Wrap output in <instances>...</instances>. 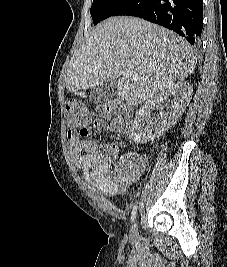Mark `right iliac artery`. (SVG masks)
I'll return each instance as SVG.
<instances>
[{
	"mask_svg": "<svg viewBox=\"0 0 227 267\" xmlns=\"http://www.w3.org/2000/svg\"><path fill=\"white\" fill-rule=\"evenodd\" d=\"M136 213H137V204H135L133 206V210H132V213H131V223L133 224L134 220H135V217H136Z\"/></svg>",
	"mask_w": 227,
	"mask_h": 267,
	"instance_id": "82829eb1",
	"label": "right iliac artery"
}]
</instances>
